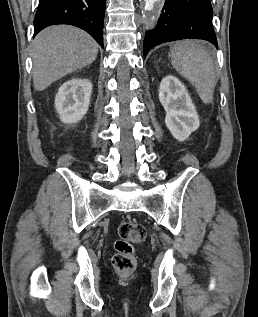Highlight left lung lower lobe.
I'll list each match as a JSON object with an SVG mask.
<instances>
[{
	"mask_svg": "<svg viewBox=\"0 0 258 317\" xmlns=\"http://www.w3.org/2000/svg\"><path fill=\"white\" fill-rule=\"evenodd\" d=\"M212 16L210 0H166L157 26L145 35L144 56L161 43L187 38L203 39L218 47Z\"/></svg>",
	"mask_w": 258,
	"mask_h": 317,
	"instance_id": "left-lung-lower-lobe-1",
	"label": "left lung lower lobe"
}]
</instances>
